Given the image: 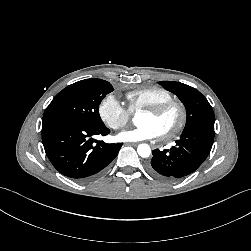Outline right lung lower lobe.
<instances>
[{
	"mask_svg": "<svg viewBox=\"0 0 251 251\" xmlns=\"http://www.w3.org/2000/svg\"><path fill=\"white\" fill-rule=\"evenodd\" d=\"M109 133L104 124L55 121L43 125L42 142L47 157L61 174L85 181L100 174L117 156L121 143L106 144L93 138Z\"/></svg>",
	"mask_w": 251,
	"mask_h": 251,
	"instance_id": "98d812e1",
	"label": "right lung lower lobe"
}]
</instances>
